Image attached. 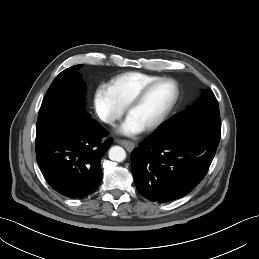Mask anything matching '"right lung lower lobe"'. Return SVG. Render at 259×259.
I'll list each match as a JSON object with an SVG mask.
<instances>
[{
	"instance_id": "obj_1",
	"label": "right lung lower lobe",
	"mask_w": 259,
	"mask_h": 259,
	"mask_svg": "<svg viewBox=\"0 0 259 259\" xmlns=\"http://www.w3.org/2000/svg\"><path fill=\"white\" fill-rule=\"evenodd\" d=\"M95 120L71 126L57 124L36 138V158L48 184L69 198L93 193L102 178L100 160L113 139Z\"/></svg>"
}]
</instances>
